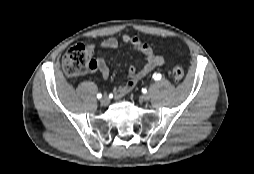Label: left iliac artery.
Returning a JSON list of instances; mask_svg holds the SVG:
<instances>
[{
  "mask_svg": "<svg viewBox=\"0 0 254 174\" xmlns=\"http://www.w3.org/2000/svg\"><path fill=\"white\" fill-rule=\"evenodd\" d=\"M153 78H154V80H160V79H161V74L155 73V74L153 75Z\"/></svg>",
  "mask_w": 254,
  "mask_h": 174,
  "instance_id": "left-iliac-artery-1",
  "label": "left iliac artery"
}]
</instances>
